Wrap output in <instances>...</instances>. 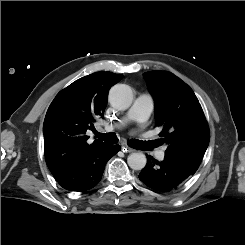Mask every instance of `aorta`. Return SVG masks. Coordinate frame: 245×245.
Wrapping results in <instances>:
<instances>
[{
  "instance_id": "aorta-1",
  "label": "aorta",
  "mask_w": 245,
  "mask_h": 245,
  "mask_svg": "<svg viewBox=\"0 0 245 245\" xmlns=\"http://www.w3.org/2000/svg\"><path fill=\"white\" fill-rule=\"evenodd\" d=\"M108 100L113 108L127 110L133 102V91L128 85L117 84L110 89ZM146 162V156L140 152L132 153L127 158V163L133 170L143 169Z\"/></svg>"
}]
</instances>
